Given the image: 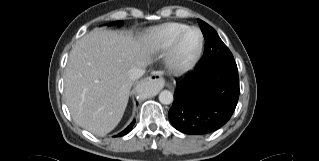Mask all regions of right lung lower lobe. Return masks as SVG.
<instances>
[{
	"mask_svg": "<svg viewBox=\"0 0 319 161\" xmlns=\"http://www.w3.org/2000/svg\"><path fill=\"white\" fill-rule=\"evenodd\" d=\"M134 124H135V121H133L124 131H122L120 134H118L116 136L126 135L127 133H129L132 130Z\"/></svg>",
	"mask_w": 319,
	"mask_h": 161,
	"instance_id": "98d812e1",
	"label": "right lung lower lobe"
}]
</instances>
